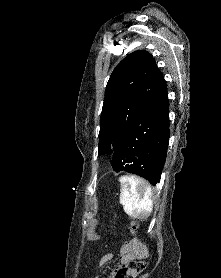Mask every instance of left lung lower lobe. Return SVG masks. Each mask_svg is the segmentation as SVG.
I'll return each instance as SVG.
<instances>
[{
    "mask_svg": "<svg viewBox=\"0 0 221 278\" xmlns=\"http://www.w3.org/2000/svg\"><path fill=\"white\" fill-rule=\"evenodd\" d=\"M169 103L166 81L162 78L151 100L113 150L112 167L160 182L169 141Z\"/></svg>",
    "mask_w": 221,
    "mask_h": 278,
    "instance_id": "0a47b994",
    "label": "left lung lower lobe"
}]
</instances>
